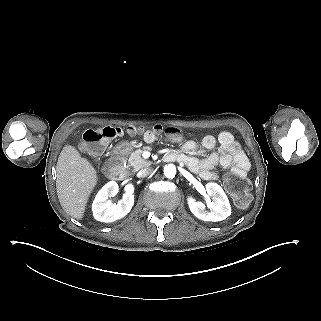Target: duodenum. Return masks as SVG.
I'll list each match as a JSON object with an SVG mask.
<instances>
[{
    "mask_svg": "<svg viewBox=\"0 0 321 321\" xmlns=\"http://www.w3.org/2000/svg\"><path fill=\"white\" fill-rule=\"evenodd\" d=\"M165 162L180 161V156L176 153H168L164 156ZM104 170L108 177L113 180H120L124 175L123 160L118 152H115L106 162Z\"/></svg>",
    "mask_w": 321,
    "mask_h": 321,
    "instance_id": "410a0bca",
    "label": "duodenum"
}]
</instances>
